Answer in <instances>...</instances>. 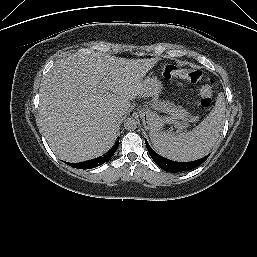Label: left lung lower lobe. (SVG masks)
Wrapping results in <instances>:
<instances>
[{
	"mask_svg": "<svg viewBox=\"0 0 257 257\" xmlns=\"http://www.w3.org/2000/svg\"><path fill=\"white\" fill-rule=\"evenodd\" d=\"M145 142H146L147 150H148L150 156L152 157V159L154 160V162L160 168H162L163 170H165L167 172L177 173V172L192 170V169L198 167L199 165H201L210 155L209 154L199 160L192 161V162H176V161H171L167 158L160 156L154 150H152V148L148 144L147 140H145Z\"/></svg>",
	"mask_w": 257,
	"mask_h": 257,
	"instance_id": "1",
	"label": "left lung lower lobe"
}]
</instances>
